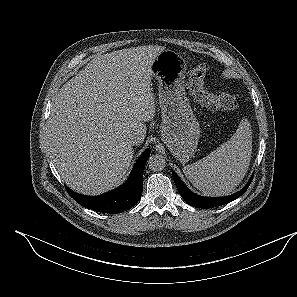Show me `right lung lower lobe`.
Segmentation results:
<instances>
[{
    "label": "right lung lower lobe",
    "mask_w": 297,
    "mask_h": 297,
    "mask_svg": "<svg viewBox=\"0 0 297 297\" xmlns=\"http://www.w3.org/2000/svg\"><path fill=\"white\" fill-rule=\"evenodd\" d=\"M150 151L142 153L126 183L117 189L99 196H84L66 187L67 192L81 206L94 211L113 214L126 211L135 206L142 195L143 171Z\"/></svg>",
    "instance_id": "right-lung-lower-lobe-1"
}]
</instances>
